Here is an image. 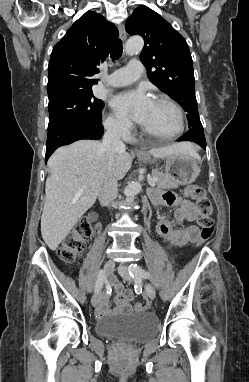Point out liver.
Wrapping results in <instances>:
<instances>
[{"instance_id": "1", "label": "liver", "mask_w": 249, "mask_h": 382, "mask_svg": "<svg viewBox=\"0 0 249 382\" xmlns=\"http://www.w3.org/2000/svg\"><path fill=\"white\" fill-rule=\"evenodd\" d=\"M176 152L198 157L193 145L186 142L151 149L149 154L163 159ZM131 165L128 152L118 151L109 156L102 143L95 140H79L52 154L48 160L50 175L46 179V201L41 216L42 238L51 250L58 248L93 206L106 172L111 170L120 180Z\"/></svg>"}]
</instances>
